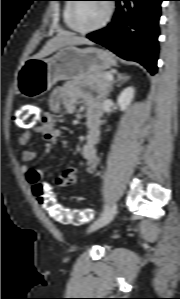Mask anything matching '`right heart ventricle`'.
I'll list each match as a JSON object with an SVG mask.
<instances>
[{
  "instance_id": "right-heart-ventricle-1",
  "label": "right heart ventricle",
  "mask_w": 180,
  "mask_h": 299,
  "mask_svg": "<svg viewBox=\"0 0 180 299\" xmlns=\"http://www.w3.org/2000/svg\"><path fill=\"white\" fill-rule=\"evenodd\" d=\"M72 6V0H67L66 4L63 7L62 17L63 21L67 28L73 29L70 23V10Z\"/></svg>"
}]
</instances>
